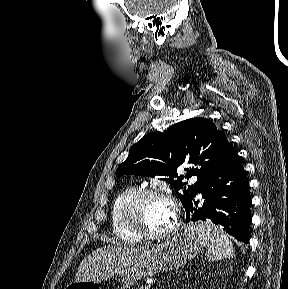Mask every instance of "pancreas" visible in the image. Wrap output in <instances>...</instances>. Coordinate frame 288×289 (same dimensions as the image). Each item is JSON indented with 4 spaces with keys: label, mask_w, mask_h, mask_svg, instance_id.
<instances>
[{
    "label": "pancreas",
    "mask_w": 288,
    "mask_h": 289,
    "mask_svg": "<svg viewBox=\"0 0 288 289\" xmlns=\"http://www.w3.org/2000/svg\"><path fill=\"white\" fill-rule=\"evenodd\" d=\"M138 289H151V287L148 286V285H145V286H141V287H139Z\"/></svg>",
    "instance_id": "obj_1"
}]
</instances>
